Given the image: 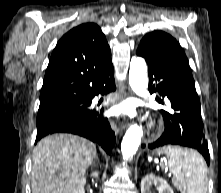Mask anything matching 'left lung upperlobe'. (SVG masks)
I'll use <instances>...</instances> for the list:
<instances>
[{"label":"left lung upper lobe","mask_w":221,"mask_h":193,"mask_svg":"<svg viewBox=\"0 0 221 193\" xmlns=\"http://www.w3.org/2000/svg\"><path fill=\"white\" fill-rule=\"evenodd\" d=\"M139 46L160 58L188 64V59L180 44L171 35L163 31L147 34Z\"/></svg>","instance_id":"5c2ea615"}]
</instances>
